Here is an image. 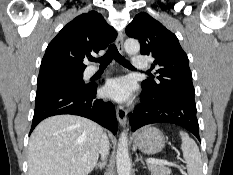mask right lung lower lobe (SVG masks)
Instances as JSON below:
<instances>
[{
    "label": "right lung lower lobe",
    "instance_id": "98d812e1",
    "mask_svg": "<svg viewBox=\"0 0 233 175\" xmlns=\"http://www.w3.org/2000/svg\"><path fill=\"white\" fill-rule=\"evenodd\" d=\"M97 84L83 87L50 88L36 94L32 130L43 119L59 114H73L89 118L113 134L117 133V119L111 102L96 98Z\"/></svg>",
    "mask_w": 233,
    "mask_h": 175
}]
</instances>
